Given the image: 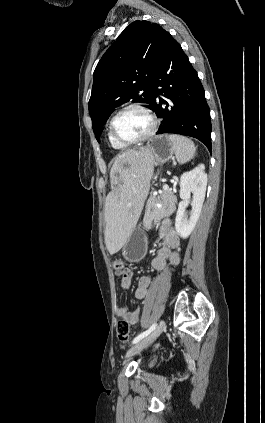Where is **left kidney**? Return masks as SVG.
Wrapping results in <instances>:
<instances>
[{
  "mask_svg": "<svg viewBox=\"0 0 265 423\" xmlns=\"http://www.w3.org/2000/svg\"><path fill=\"white\" fill-rule=\"evenodd\" d=\"M207 187V174L204 164L198 165L193 170L184 173L180 178V198L175 218V229L181 238L186 239L192 233L199 219L205 199ZM193 193L192 209L188 218L186 208L190 195Z\"/></svg>",
  "mask_w": 265,
  "mask_h": 423,
  "instance_id": "1",
  "label": "left kidney"
}]
</instances>
